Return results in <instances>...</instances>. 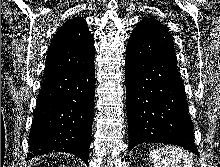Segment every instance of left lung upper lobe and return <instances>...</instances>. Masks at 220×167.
Listing matches in <instances>:
<instances>
[{"instance_id":"1","label":"left lung upper lobe","mask_w":220,"mask_h":167,"mask_svg":"<svg viewBox=\"0 0 220 167\" xmlns=\"http://www.w3.org/2000/svg\"><path fill=\"white\" fill-rule=\"evenodd\" d=\"M126 50L139 57L161 58L177 63L170 32L152 17H147L137 24Z\"/></svg>"}]
</instances>
